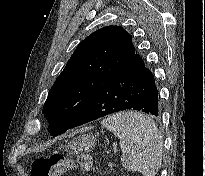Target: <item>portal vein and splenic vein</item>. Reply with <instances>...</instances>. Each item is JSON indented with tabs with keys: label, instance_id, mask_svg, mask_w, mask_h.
Wrapping results in <instances>:
<instances>
[{
	"label": "portal vein and splenic vein",
	"instance_id": "18ae733b",
	"mask_svg": "<svg viewBox=\"0 0 205 176\" xmlns=\"http://www.w3.org/2000/svg\"><path fill=\"white\" fill-rule=\"evenodd\" d=\"M113 151H114L115 153H117V152H118V149H117L116 147H114V148H113Z\"/></svg>",
	"mask_w": 205,
	"mask_h": 176
}]
</instances>
